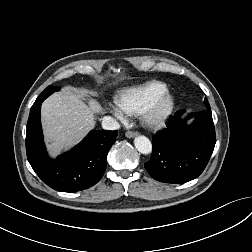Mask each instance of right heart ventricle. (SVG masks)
I'll return each mask as SVG.
<instances>
[{"label": "right heart ventricle", "mask_w": 252, "mask_h": 252, "mask_svg": "<svg viewBox=\"0 0 252 252\" xmlns=\"http://www.w3.org/2000/svg\"><path fill=\"white\" fill-rule=\"evenodd\" d=\"M168 89L165 82L150 80L143 84L126 88L115 98L119 111L130 116H139L146 106L162 91Z\"/></svg>", "instance_id": "1"}]
</instances>
